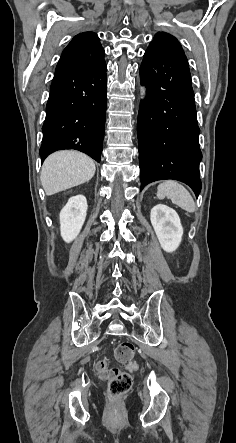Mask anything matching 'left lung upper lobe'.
I'll return each instance as SVG.
<instances>
[{"mask_svg":"<svg viewBox=\"0 0 236 443\" xmlns=\"http://www.w3.org/2000/svg\"><path fill=\"white\" fill-rule=\"evenodd\" d=\"M148 49H157L172 53L184 54V51L178 40L165 32H158L153 41L149 44Z\"/></svg>","mask_w":236,"mask_h":443,"instance_id":"left-lung-upper-lobe-1","label":"left lung upper lobe"}]
</instances>
